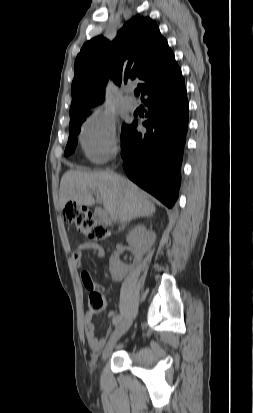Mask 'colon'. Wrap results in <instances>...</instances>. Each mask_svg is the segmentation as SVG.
I'll use <instances>...</instances> for the list:
<instances>
[{
	"mask_svg": "<svg viewBox=\"0 0 253 413\" xmlns=\"http://www.w3.org/2000/svg\"><path fill=\"white\" fill-rule=\"evenodd\" d=\"M64 219L68 224L74 225L78 230L85 233L90 240H104L108 237V231L98 224L92 215L76 203L70 202L63 209ZM88 306L91 312H100L106 308V299L99 286L95 283L87 287Z\"/></svg>",
	"mask_w": 253,
	"mask_h": 413,
	"instance_id": "obj_1",
	"label": "colon"
}]
</instances>
